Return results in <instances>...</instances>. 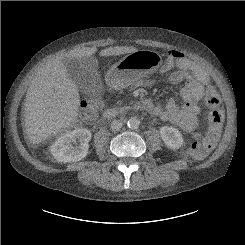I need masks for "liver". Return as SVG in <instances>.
<instances>
[{
	"mask_svg": "<svg viewBox=\"0 0 245 245\" xmlns=\"http://www.w3.org/2000/svg\"><path fill=\"white\" fill-rule=\"evenodd\" d=\"M137 50L132 46H115L103 49L100 56L122 55ZM96 52V47L71 50L47 62L33 78L24 103L25 131L32 144H39L76 122L79 89L69 76L65 62L90 57Z\"/></svg>",
	"mask_w": 245,
	"mask_h": 245,
	"instance_id": "obj_1",
	"label": "liver"
}]
</instances>
